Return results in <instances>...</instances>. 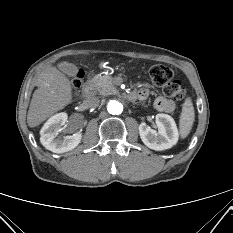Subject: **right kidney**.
Listing matches in <instances>:
<instances>
[{
    "label": "right kidney",
    "instance_id": "ca27d5eb",
    "mask_svg": "<svg viewBox=\"0 0 233 233\" xmlns=\"http://www.w3.org/2000/svg\"><path fill=\"white\" fill-rule=\"evenodd\" d=\"M67 119V114L61 112L49 118L44 124L40 132V141L46 149L54 153H64L78 146L82 139L81 132H76L71 136L57 138L59 132L62 130L61 126L67 122Z\"/></svg>",
    "mask_w": 233,
    "mask_h": 233
}]
</instances>
